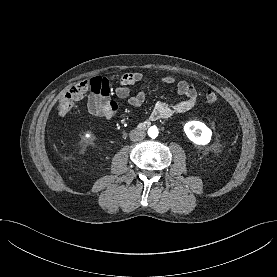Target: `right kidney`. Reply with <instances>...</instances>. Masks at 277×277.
<instances>
[{"instance_id":"obj_1","label":"right kidney","mask_w":277,"mask_h":277,"mask_svg":"<svg viewBox=\"0 0 277 277\" xmlns=\"http://www.w3.org/2000/svg\"><path fill=\"white\" fill-rule=\"evenodd\" d=\"M85 137H86V138H90L91 135L87 133V134L85 135Z\"/></svg>"}]
</instances>
